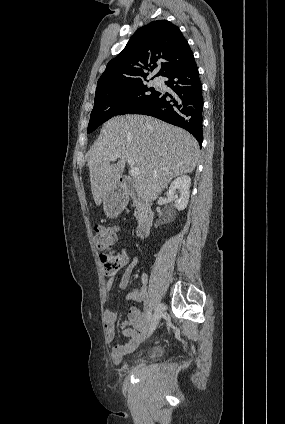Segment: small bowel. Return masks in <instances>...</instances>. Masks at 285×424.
Returning a JSON list of instances; mask_svg holds the SVG:
<instances>
[{
	"mask_svg": "<svg viewBox=\"0 0 285 424\" xmlns=\"http://www.w3.org/2000/svg\"><path fill=\"white\" fill-rule=\"evenodd\" d=\"M121 265L126 267L121 280L120 288L126 289L131 278L132 271L138 262V257L129 258L126 249H122L119 255ZM147 276H141V285L133 289L126 295L127 301L144 302V308L141 310L133 307L128 311L127 317L121 322L120 327L122 335L128 338V341L122 344H115L111 348L110 358L114 363H118L122 357L132 352L143 339L148 326L147 315L150 311L146 298L148 294ZM115 283V277L108 278L105 284V293L109 295ZM118 319V312L115 310H106L104 312V338L107 343H112L115 337V325Z\"/></svg>",
	"mask_w": 285,
	"mask_h": 424,
	"instance_id": "small-bowel-1",
	"label": "small bowel"
}]
</instances>
